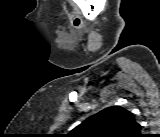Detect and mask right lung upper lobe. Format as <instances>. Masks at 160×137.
<instances>
[{
	"label": "right lung upper lobe",
	"instance_id": "obj_1",
	"mask_svg": "<svg viewBox=\"0 0 160 137\" xmlns=\"http://www.w3.org/2000/svg\"><path fill=\"white\" fill-rule=\"evenodd\" d=\"M141 126L133 113L120 106L105 108L75 127L73 137H139Z\"/></svg>",
	"mask_w": 160,
	"mask_h": 137
}]
</instances>
